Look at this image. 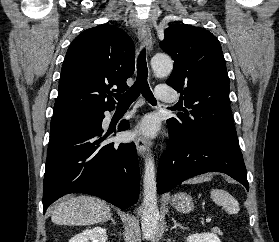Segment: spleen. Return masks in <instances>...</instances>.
Masks as SVG:
<instances>
[{"instance_id": "3e777b00", "label": "spleen", "mask_w": 279, "mask_h": 242, "mask_svg": "<svg viewBox=\"0 0 279 242\" xmlns=\"http://www.w3.org/2000/svg\"><path fill=\"white\" fill-rule=\"evenodd\" d=\"M211 199L220 206H223L229 214H237L240 210L237 200L227 191L213 189L210 191Z\"/></svg>"}]
</instances>
